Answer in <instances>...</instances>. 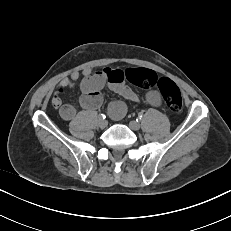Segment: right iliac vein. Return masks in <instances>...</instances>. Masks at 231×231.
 <instances>
[{
	"mask_svg": "<svg viewBox=\"0 0 231 231\" xmlns=\"http://www.w3.org/2000/svg\"><path fill=\"white\" fill-rule=\"evenodd\" d=\"M98 126L100 128H105L107 126V121L104 120V119H102V118H99V120H98Z\"/></svg>",
	"mask_w": 231,
	"mask_h": 231,
	"instance_id": "63e3f726",
	"label": "right iliac vein"
}]
</instances>
